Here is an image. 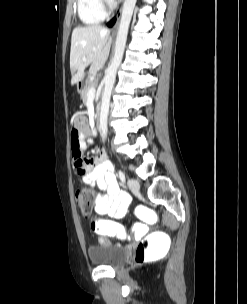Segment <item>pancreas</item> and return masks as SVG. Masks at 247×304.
<instances>
[{
  "instance_id": "1",
  "label": "pancreas",
  "mask_w": 247,
  "mask_h": 304,
  "mask_svg": "<svg viewBox=\"0 0 247 304\" xmlns=\"http://www.w3.org/2000/svg\"><path fill=\"white\" fill-rule=\"evenodd\" d=\"M91 87H94V82L88 80V82L85 83V86L83 87V89L80 91V93H81V98H82V100H83V103L86 102L87 96H88L87 93H88V90H89Z\"/></svg>"
}]
</instances>
